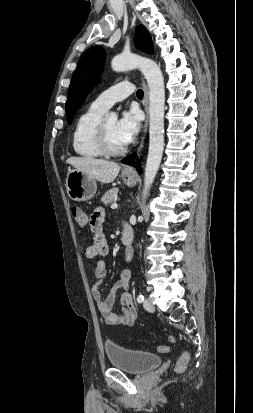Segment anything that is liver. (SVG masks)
I'll return each instance as SVG.
<instances>
[{"label": "liver", "mask_w": 253, "mask_h": 413, "mask_svg": "<svg viewBox=\"0 0 253 413\" xmlns=\"http://www.w3.org/2000/svg\"><path fill=\"white\" fill-rule=\"evenodd\" d=\"M67 164L75 169L87 173L89 176L102 183H111L118 176L120 165L92 157H71L66 160Z\"/></svg>", "instance_id": "obj_1"}]
</instances>
